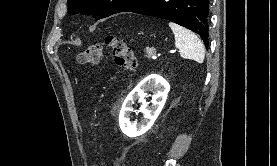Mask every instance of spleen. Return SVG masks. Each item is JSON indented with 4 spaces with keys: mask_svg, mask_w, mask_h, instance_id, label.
Here are the masks:
<instances>
[{
    "mask_svg": "<svg viewBox=\"0 0 277 166\" xmlns=\"http://www.w3.org/2000/svg\"><path fill=\"white\" fill-rule=\"evenodd\" d=\"M175 36V46L179 49L180 56L202 63L205 57V48L202 41L190 30L169 22Z\"/></svg>",
    "mask_w": 277,
    "mask_h": 166,
    "instance_id": "1",
    "label": "spleen"
}]
</instances>
